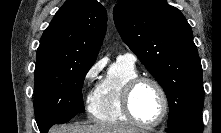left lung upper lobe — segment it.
Segmentation results:
<instances>
[{
    "label": "left lung upper lobe",
    "mask_w": 221,
    "mask_h": 133,
    "mask_svg": "<svg viewBox=\"0 0 221 133\" xmlns=\"http://www.w3.org/2000/svg\"><path fill=\"white\" fill-rule=\"evenodd\" d=\"M122 39L163 87L168 126L202 112V66L191 26L166 0H125L113 10Z\"/></svg>",
    "instance_id": "obj_1"
}]
</instances>
